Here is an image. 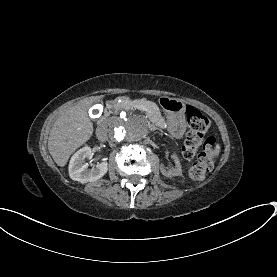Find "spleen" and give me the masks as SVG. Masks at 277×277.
I'll list each match as a JSON object with an SVG mask.
<instances>
[{"instance_id":"1","label":"spleen","mask_w":277,"mask_h":277,"mask_svg":"<svg viewBox=\"0 0 277 277\" xmlns=\"http://www.w3.org/2000/svg\"><path fill=\"white\" fill-rule=\"evenodd\" d=\"M220 153H221L220 144H216V145L214 146V152H213L214 158H218L219 155H220Z\"/></svg>"}]
</instances>
